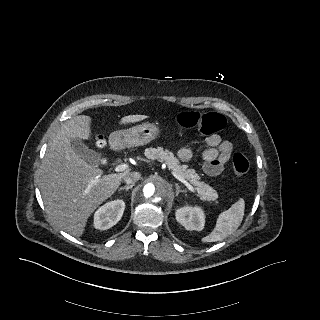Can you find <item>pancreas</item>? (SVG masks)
<instances>
[{"label": "pancreas", "instance_id": "pancreas-1", "mask_svg": "<svg viewBox=\"0 0 320 320\" xmlns=\"http://www.w3.org/2000/svg\"><path fill=\"white\" fill-rule=\"evenodd\" d=\"M145 156L148 159L164 162L168 169L177 175L182 176L184 179L196 186L197 195L204 201L217 204L218 194L211 186L204 182H200L199 175L194 169H189L187 165H180V161L169 150H164L161 147L148 148L145 150Z\"/></svg>", "mask_w": 320, "mask_h": 320}]
</instances>
